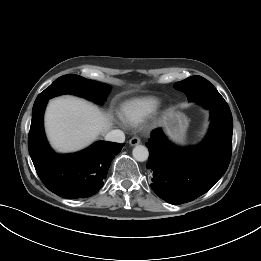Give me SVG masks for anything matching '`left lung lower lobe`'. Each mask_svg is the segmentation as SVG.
I'll return each mask as SVG.
<instances>
[{"label":"left lung lower lobe","instance_id":"0a47b994","mask_svg":"<svg viewBox=\"0 0 261 261\" xmlns=\"http://www.w3.org/2000/svg\"><path fill=\"white\" fill-rule=\"evenodd\" d=\"M210 110V129L196 147L180 148L170 143L160 128L146 143L147 168L153 174L151 188L163 200L179 205L206 193L226 172L232 151V114L228 104L210 83L188 95Z\"/></svg>","mask_w":261,"mask_h":261}]
</instances>
